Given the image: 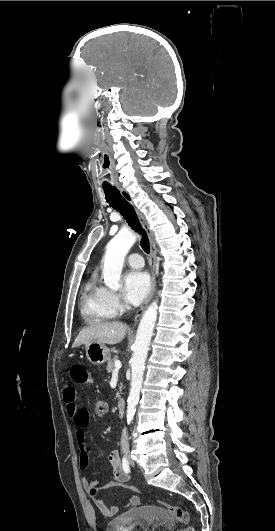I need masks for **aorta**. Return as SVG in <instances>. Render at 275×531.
Masks as SVG:
<instances>
[{
    "label": "aorta",
    "mask_w": 275,
    "mask_h": 531,
    "mask_svg": "<svg viewBox=\"0 0 275 531\" xmlns=\"http://www.w3.org/2000/svg\"><path fill=\"white\" fill-rule=\"evenodd\" d=\"M137 237L131 231H119L106 247L103 257V279L106 287L112 291L120 289L121 271L124 259ZM157 301H153L144 311L137 329L134 351L131 359V389L127 399V423L132 421L139 403L140 391L143 383L145 361L157 319Z\"/></svg>",
    "instance_id": "1"
}]
</instances>
